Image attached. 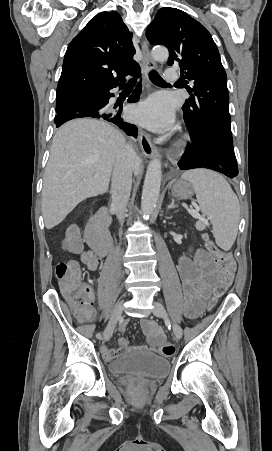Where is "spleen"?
I'll list each match as a JSON object with an SVG mask.
<instances>
[{"label": "spleen", "instance_id": "1", "mask_svg": "<svg viewBox=\"0 0 272 451\" xmlns=\"http://www.w3.org/2000/svg\"><path fill=\"white\" fill-rule=\"evenodd\" d=\"M181 178L192 184L201 212L210 218L215 241L229 251L237 235L240 204L230 184L211 170H188Z\"/></svg>", "mask_w": 272, "mask_h": 451}]
</instances>
